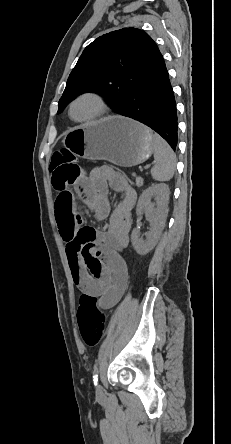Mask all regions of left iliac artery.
Returning <instances> with one entry per match:
<instances>
[{
	"label": "left iliac artery",
	"instance_id": "obj_1",
	"mask_svg": "<svg viewBox=\"0 0 231 444\" xmlns=\"http://www.w3.org/2000/svg\"><path fill=\"white\" fill-rule=\"evenodd\" d=\"M98 374H99L98 368L94 367V370H93V382H94V385H97Z\"/></svg>",
	"mask_w": 231,
	"mask_h": 444
}]
</instances>
